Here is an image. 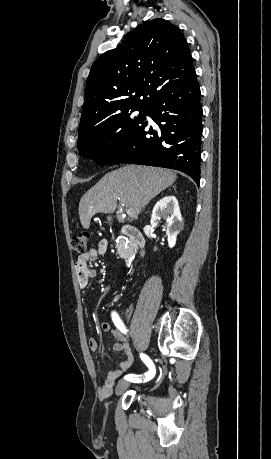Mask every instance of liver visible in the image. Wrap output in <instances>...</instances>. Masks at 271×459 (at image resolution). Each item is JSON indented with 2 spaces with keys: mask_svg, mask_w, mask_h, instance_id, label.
<instances>
[{
  "mask_svg": "<svg viewBox=\"0 0 271 459\" xmlns=\"http://www.w3.org/2000/svg\"><path fill=\"white\" fill-rule=\"evenodd\" d=\"M176 178V174L171 170L134 164L109 172L81 198L80 222L83 228L89 229L92 216L98 212H115L117 200H121L124 208H133L135 214H140L142 208L162 190L172 186Z\"/></svg>",
  "mask_w": 271,
  "mask_h": 459,
  "instance_id": "6515ba94",
  "label": "liver"
}]
</instances>
